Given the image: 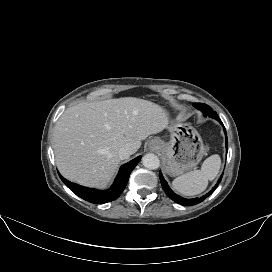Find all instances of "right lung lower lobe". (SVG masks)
<instances>
[{"instance_id":"1","label":"right lung lower lobe","mask_w":272,"mask_h":272,"mask_svg":"<svg viewBox=\"0 0 272 272\" xmlns=\"http://www.w3.org/2000/svg\"><path fill=\"white\" fill-rule=\"evenodd\" d=\"M140 159L141 156H138L135 159L131 160L130 162L122 165L113 185L108 190L104 191L83 187L66 180L60 174L59 176L62 179V181L66 184V186L80 198L96 204L107 203L117 199L120 196V194L126 187L130 173L136 167Z\"/></svg>"}]
</instances>
